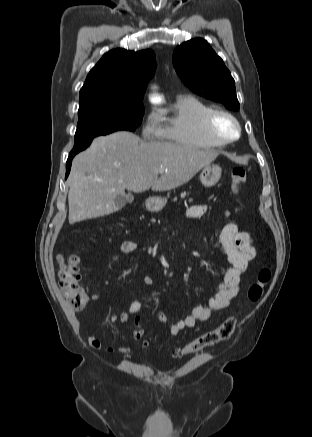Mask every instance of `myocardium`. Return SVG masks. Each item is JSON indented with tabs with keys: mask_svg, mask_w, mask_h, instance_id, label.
Listing matches in <instances>:
<instances>
[{
	"mask_svg": "<svg viewBox=\"0 0 312 437\" xmlns=\"http://www.w3.org/2000/svg\"><path fill=\"white\" fill-rule=\"evenodd\" d=\"M219 116H225L234 123L236 134L233 137H224L215 130L214 122ZM203 129L210 139L221 145L232 143L238 140L241 135V125L238 119L231 112L222 108L211 109L205 114L203 118Z\"/></svg>",
	"mask_w": 312,
	"mask_h": 437,
	"instance_id": "obj_1",
	"label": "myocardium"
}]
</instances>
